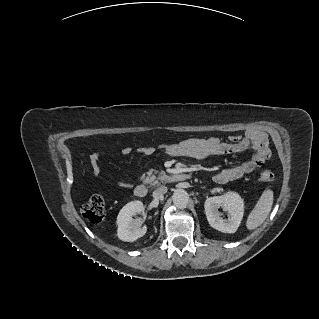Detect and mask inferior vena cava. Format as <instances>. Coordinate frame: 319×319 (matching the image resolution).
I'll return each mask as SVG.
<instances>
[{"label":"inferior vena cava","mask_w":319,"mask_h":319,"mask_svg":"<svg viewBox=\"0 0 319 319\" xmlns=\"http://www.w3.org/2000/svg\"><path fill=\"white\" fill-rule=\"evenodd\" d=\"M167 190L168 188L166 186H160L153 191L152 196L154 199H160L167 192Z\"/></svg>","instance_id":"602c4592"}]
</instances>
